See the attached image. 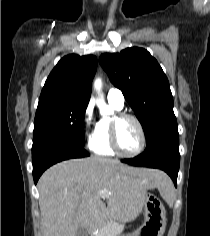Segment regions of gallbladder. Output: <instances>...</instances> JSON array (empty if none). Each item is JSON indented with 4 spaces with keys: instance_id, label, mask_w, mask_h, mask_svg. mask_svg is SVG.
<instances>
[{
    "instance_id": "bac80fb5",
    "label": "gallbladder",
    "mask_w": 210,
    "mask_h": 236,
    "mask_svg": "<svg viewBox=\"0 0 210 236\" xmlns=\"http://www.w3.org/2000/svg\"><path fill=\"white\" fill-rule=\"evenodd\" d=\"M76 236H88L87 230L83 226H80L77 230Z\"/></svg>"
}]
</instances>
